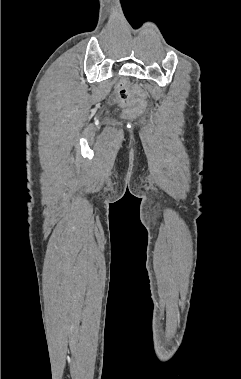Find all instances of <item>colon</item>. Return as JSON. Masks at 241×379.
I'll list each match as a JSON object with an SVG mask.
<instances>
[{
    "label": "colon",
    "instance_id": "5ec220e1",
    "mask_svg": "<svg viewBox=\"0 0 241 379\" xmlns=\"http://www.w3.org/2000/svg\"><path fill=\"white\" fill-rule=\"evenodd\" d=\"M117 97L120 103L129 108L127 114L129 116H134L141 112L145 107V102L143 99H134L132 98L123 85H120L117 90Z\"/></svg>",
    "mask_w": 241,
    "mask_h": 379
}]
</instances>
